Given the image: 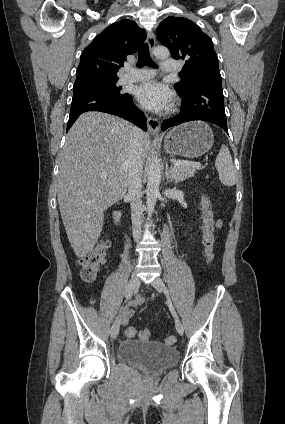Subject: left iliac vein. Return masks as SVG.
<instances>
[{"mask_svg":"<svg viewBox=\"0 0 285 424\" xmlns=\"http://www.w3.org/2000/svg\"><path fill=\"white\" fill-rule=\"evenodd\" d=\"M152 285L160 293L165 291L164 283H163L162 279L159 278V277L155 278L152 281ZM175 326H176V330H177L178 334L182 335L184 333V327H183V324L181 323V321L178 318L175 320Z\"/></svg>","mask_w":285,"mask_h":424,"instance_id":"4c4485c4","label":"left iliac vein"}]
</instances>
